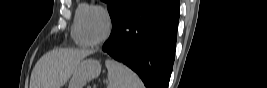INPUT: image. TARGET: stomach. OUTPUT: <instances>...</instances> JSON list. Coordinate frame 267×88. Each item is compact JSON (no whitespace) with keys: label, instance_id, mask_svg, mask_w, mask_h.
I'll list each match as a JSON object with an SVG mask.
<instances>
[{"label":"stomach","instance_id":"obj_1","mask_svg":"<svg viewBox=\"0 0 267 88\" xmlns=\"http://www.w3.org/2000/svg\"><path fill=\"white\" fill-rule=\"evenodd\" d=\"M101 72V64L95 59L82 60L75 68L68 88H83V86L98 77Z\"/></svg>","mask_w":267,"mask_h":88}]
</instances>
